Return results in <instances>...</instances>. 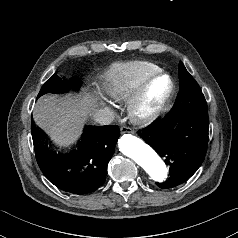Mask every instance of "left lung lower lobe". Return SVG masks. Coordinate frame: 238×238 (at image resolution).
<instances>
[{"instance_id":"obj_1","label":"left lung lower lobe","mask_w":238,"mask_h":238,"mask_svg":"<svg viewBox=\"0 0 238 238\" xmlns=\"http://www.w3.org/2000/svg\"><path fill=\"white\" fill-rule=\"evenodd\" d=\"M209 117L207 106H175L149 127L138 132L169 166L163 189L187 181L202 164L208 146Z\"/></svg>"}]
</instances>
